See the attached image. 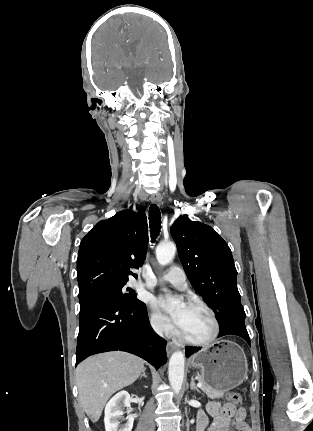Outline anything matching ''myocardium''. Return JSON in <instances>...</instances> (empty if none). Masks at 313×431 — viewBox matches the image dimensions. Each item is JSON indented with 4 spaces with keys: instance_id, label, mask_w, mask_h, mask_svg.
I'll return each instance as SVG.
<instances>
[{
    "instance_id": "myocardium-1",
    "label": "myocardium",
    "mask_w": 313,
    "mask_h": 431,
    "mask_svg": "<svg viewBox=\"0 0 313 431\" xmlns=\"http://www.w3.org/2000/svg\"><path fill=\"white\" fill-rule=\"evenodd\" d=\"M187 306L190 308H199V309L206 311L209 314V316L211 317V320H212L213 325H214V330H213L212 336L205 341L191 340V339L187 338L186 336H184L180 332V330H178L177 336H178L179 340L181 342L187 344V345L196 346V347L210 346L211 344H213L216 341V339L218 338V336L220 334V323H219V320L217 318L216 313L208 305H206L202 302H198V301H191L187 304Z\"/></svg>"
}]
</instances>
